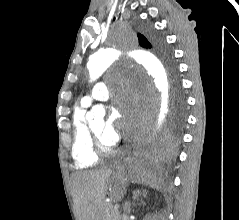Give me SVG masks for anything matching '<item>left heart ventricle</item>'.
<instances>
[{"label": "left heart ventricle", "instance_id": "b2bd125f", "mask_svg": "<svg viewBox=\"0 0 239 220\" xmlns=\"http://www.w3.org/2000/svg\"><path fill=\"white\" fill-rule=\"evenodd\" d=\"M105 126V122L103 120H99L95 123L92 124V129L94 130V132L100 137V139L102 140V142L106 145V146H110L111 144H109L108 142H106L103 137H102V132Z\"/></svg>", "mask_w": 239, "mask_h": 220}]
</instances>
